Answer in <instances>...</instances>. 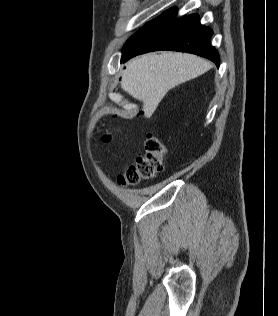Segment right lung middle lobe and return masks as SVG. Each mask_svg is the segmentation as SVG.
<instances>
[{"mask_svg": "<svg viewBox=\"0 0 278 316\" xmlns=\"http://www.w3.org/2000/svg\"><path fill=\"white\" fill-rule=\"evenodd\" d=\"M158 19V18H157ZM154 19L142 27L134 36H132L124 46L123 52L131 48L146 32L147 30L156 22Z\"/></svg>", "mask_w": 278, "mask_h": 316, "instance_id": "obj_1", "label": "right lung middle lobe"}]
</instances>
